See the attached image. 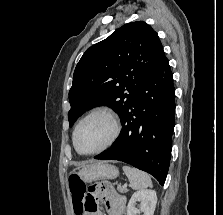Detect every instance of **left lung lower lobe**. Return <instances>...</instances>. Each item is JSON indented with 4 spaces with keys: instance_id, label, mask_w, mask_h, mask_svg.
<instances>
[{
    "instance_id": "1",
    "label": "left lung lower lobe",
    "mask_w": 223,
    "mask_h": 215,
    "mask_svg": "<svg viewBox=\"0 0 223 215\" xmlns=\"http://www.w3.org/2000/svg\"><path fill=\"white\" fill-rule=\"evenodd\" d=\"M175 88L168 59L143 82L127 109L119 137L95 159L118 160L153 175L164 184L175 125Z\"/></svg>"
}]
</instances>
